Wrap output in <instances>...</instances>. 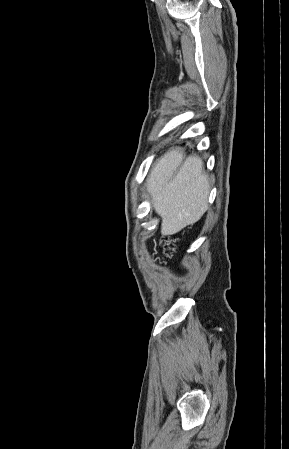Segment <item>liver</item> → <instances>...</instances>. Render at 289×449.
I'll list each match as a JSON object with an SVG mask.
<instances>
[{
    "instance_id": "1",
    "label": "liver",
    "mask_w": 289,
    "mask_h": 449,
    "mask_svg": "<svg viewBox=\"0 0 289 449\" xmlns=\"http://www.w3.org/2000/svg\"><path fill=\"white\" fill-rule=\"evenodd\" d=\"M171 150L152 167L147 192L162 218L161 234L173 235L196 223L208 209L209 183L202 160Z\"/></svg>"
}]
</instances>
